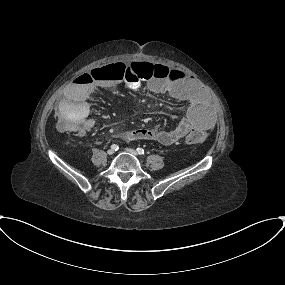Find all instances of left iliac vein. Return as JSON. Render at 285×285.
I'll return each mask as SVG.
<instances>
[{
    "label": "left iliac vein",
    "instance_id": "left-iliac-vein-1",
    "mask_svg": "<svg viewBox=\"0 0 285 285\" xmlns=\"http://www.w3.org/2000/svg\"><path fill=\"white\" fill-rule=\"evenodd\" d=\"M125 151L130 153L131 155L137 157L138 153L136 152V150L132 149V148H125Z\"/></svg>",
    "mask_w": 285,
    "mask_h": 285
}]
</instances>
